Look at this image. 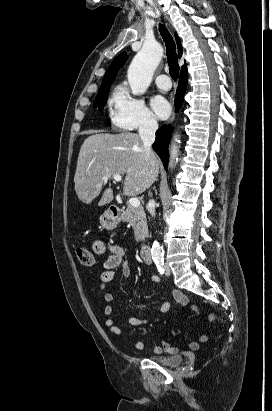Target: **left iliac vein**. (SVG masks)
Returning <instances> with one entry per match:
<instances>
[{
    "label": "left iliac vein",
    "instance_id": "4c4485c4",
    "mask_svg": "<svg viewBox=\"0 0 272 411\" xmlns=\"http://www.w3.org/2000/svg\"><path fill=\"white\" fill-rule=\"evenodd\" d=\"M164 269H165V274L170 275V268L167 264L164 266Z\"/></svg>",
    "mask_w": 272,
    "mask_h": 411
}]
</instances>
